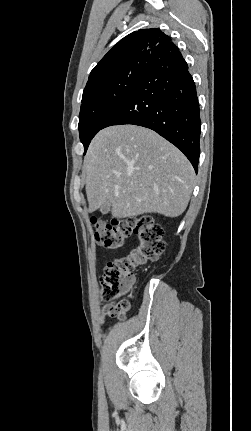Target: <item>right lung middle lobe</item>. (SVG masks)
I'll list each match as a JSON object with an SVG mask.
<instances>
[{"instance_id":"right-lung-middle-lobe-1","label":"right lung middle lobe","mask_w":251,"mask_h":431,"mask_svg":"<svg viewBox=\"0 0 251 431\" xmlns=\"http://www.w3.org/2000/svg\"><path fill=\"white\" fill-rule=\"evenodd\" d=\"M146 68V61L133 62L85 87L79 114L80 140L85 152L91 139L138 84Z\"/></svg>"}]
</instances>
